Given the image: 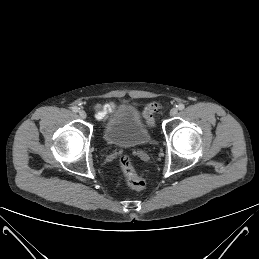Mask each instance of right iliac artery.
Here are the masks:
<instances>
[{"label":"right iliac artery","mask_w":259,"mask_h":259,"mask_svg":"<svg viewBox=\"0 0 259 259\" xmlns=\"http://www.w3.org/2000/svg\"><path fill=\"white\" fill-rule=\"evenodd\" d=\"M78 110H79V108H78L77 106H73V107H72V111H73V112L76 113V112H78Z\"/></svg>","instance_id":"obj_1"}]
</instances>
